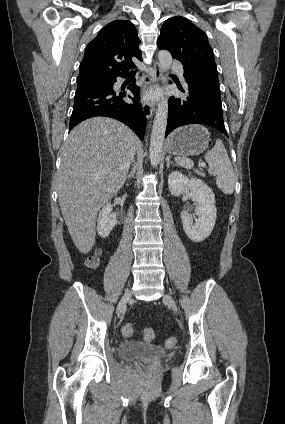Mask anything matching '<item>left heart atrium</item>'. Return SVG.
Masks as SVG:
<instances>
[{"mask_svg": "<svg viewBox=\"0 0 285 424\" xmlns=\"http://www.w3.org/2000/svg\"><path fill=\"white\" fill-rule=\"evenodd\" d=\"M158 93L155 90H151L149 92L146 93L145 98L147 100H153L157 97Z\"/></svg>", "mask_w": 285, "mask_h": 424, "instance_id": "39dd6f15", "label": "left heart atrium"}]
</instances>
